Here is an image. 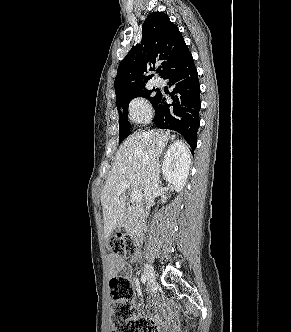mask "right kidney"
I'll return each instance as SVG.
<instances>
[{
  "mask_svg": "<svg viewBox=\"0 0 291 332\" xmlns=\"http://www.w3.org/2000/svg\"><path fill=\"white\" fill-rule=\"evenodd\" d=\"M190 156L184 144L177 141L167 150L163 161V175L166 181L173 184L176 192H180L186 184L189 173ZM166 198L162 199V203Z\"/></svg>",
  "mask_w": 291,
  "mask_h": 332,
  "instance_id": "ca27d5eb",
  "label": "right kidney"
}]
</instances>
